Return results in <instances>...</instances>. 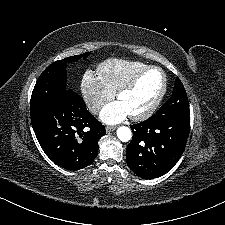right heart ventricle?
I'll use <instances>...</instances> for the list:
<instances>
[{
	"label": "right heart ventricle",
	"instance_id": "obj_1",
	"mask_svg": "<svg viewBox=\"0 0 225 225\" xmlns=\"http://www.w3.org/2000/svg\"><path fill=\"white\" fill-rule=\"evenodd\" d=\"M146 66L147 64L140 61L112 58L99 64L98 72L105 86L115 94L136 73Z\"/></svg>",
	"mask_w": 225,
	"mask_h": 225
}]
</instances>
